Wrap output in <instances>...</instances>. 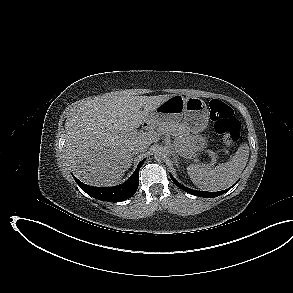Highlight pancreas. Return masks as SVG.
<instances>
[{"label":"pancreas","mask_w":293,"mask_h":293,"mask_svg":"<svg viewBox=\"0 0 293 293\" xmlns=\"http://www.w3.org/2000/svg\"><path fill=\"white\" fill-rule=\"evenodd\" d=\"M158 132L173 136L175 146L182 156L191 158L196 155V149L191 142V136L184 124L179 122L164 124L159 126Z\"/></svg>","instance_id":"1"}]
</instances>
